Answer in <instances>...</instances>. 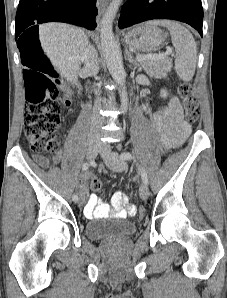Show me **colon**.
Segmentation results:
<instances>
[{"instance_id":"5ec220e1","label":"colon","mask_w":227,"mask_h":298,"mask_svg":"<svg viewBox=\"0 0 227 298\" xmlns=\"http://www.w3.org/2000/svg\"><path fill=\"white\" fill-rule=\"evenodd\" d=\"M25 113L24 134L33 151L37 153H54L59 144L55 130L60 120L61 103L59 92L54 81L47 76L51 72L49 63L40 53L29 54L25 58ZM178 92L185 109L188 123L195 124L199 120L198 100L188 82H181ZM94 190L102 187V182L95 178L91 182ZM140 218H145V210L140 208Z\"/></svg>"}]
</instances>
